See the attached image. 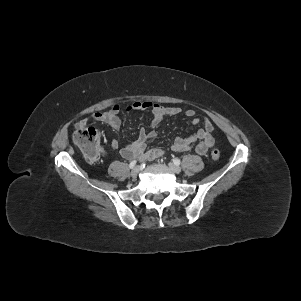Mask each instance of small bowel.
Here are the masks:
<instances>
[{
	"label": "small bowel",
	"instance_id": "1",
	"mask_svg": "<svg viewBox=\"0 0 301 301\" xmlns=\"http://www.w3.org/2000/svg\"><path fill=\"white\" fill-rule=\"evenodd\" d=\"M127 112L130 111H150L151 121L150 126L157 127L165 118L179 115L182 113V109L176 106L165 107L158 103L138 101L126 108ZM188 118L192 119V123L197 125L201 122V119L196 116V113L192 109H188L185 112ZM100 122L108 125L114 130L119 129L121 125L120 120V107L119 105H113L109 110L105 112H97L93 114L89 119H83L76 124V127L87 125L89 121ZM203 126L193 135L188 137H177L173 141L171 149L176 152L187 151L192 148L200 154L204 155L215 144L213 137L214 126L208 119L202 120ZM154 131L147 132L145 129H141L138 138L120 149V154L125 159H131L133 157H139L144 160H154L164 155V151L160 148L147 149V144L155 138ZM119 148V142L116 139L111 141V149L117 150Z\"/></svg>",
	"mask_w": 301,
	"mask_h": 301
}]
</instances>
